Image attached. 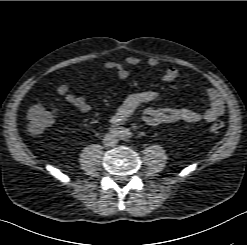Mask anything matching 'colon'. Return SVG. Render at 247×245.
Wrapping results in <instances>:
<instances>
[{"instance_id": "5ec220e1", "label": "colon", "mask_w": 247, "mask_h": 245, "mask_svg": "<svg viewBox=\"0 0 247 245\" xmlns=\"http://www.w3.org/2000/svg\"><path fill=\"white\" fill-rule=\"evenodd\" d=\"M28 130L33 134L42 133L54 120V112L46 109L42 105H33L28 113ZM224 127L222 120H215L209 127L211 133H218Z\"/></svg>"}]
</instances>
